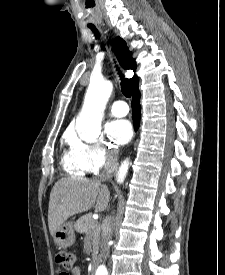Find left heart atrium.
<instances>
[{
	"mask_svg": "<svg viewBox=\"0 0 225 275\" xmlns=\"http://www.w3.org/2000/svg\"><path fill=\"white\" fill-rule=\"evenodd\" d=\"M110 139L118 144L126 143L132 136V127L127 120H114L107 125Z\"/></svg>",
	"mask_w": 225,
	"mask_h": 275,
	"instance_id": "39dd6f15",
	"label": "left heart atrium"
}]
</instances>
